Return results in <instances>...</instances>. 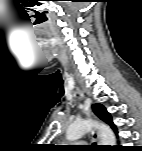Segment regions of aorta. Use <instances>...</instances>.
<instances>
[{
	"instance_id": "762f6f07",
	"label": "aorta",
	"mask_w": 142,
	"mask_h": 151,
	"mask_svg": "<svg viewBox=\"0 0 142 151\" xmlns=\"http://www.w3.org/2000/svg\"><path fill=\"white\" fill-rule=\"evenodd\" d=\"M93 128H96L99 132L101 145L115 146L116 140L111 128L106 124L95 122L92 119L73 122L66 131V139L68 141H76Z\"/></svg>"
}]
</instances>
